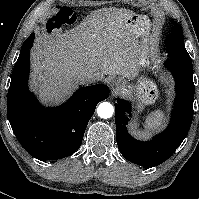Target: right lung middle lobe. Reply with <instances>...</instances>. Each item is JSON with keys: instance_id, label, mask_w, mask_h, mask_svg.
I'll return each instance as SVG.
<instances>
[{"instance_id": "right-lung-middle-lobe-1", "label": "right lung middle lobe", "mask_w": 199, "mask_h": 199, "mask_svg": "<svg viewBox=\"0 0 199 199\" xmlns=\"http://www.w3.org/2000/svg\"><path fill=\"white\" fill-rule=\"evenodd\" d=\"M34 38H35V35H30V37L25 40L23 46L21 47V52H20L19 58L26 50H28L32 47Z\"/></svg>"}]
</instances>
